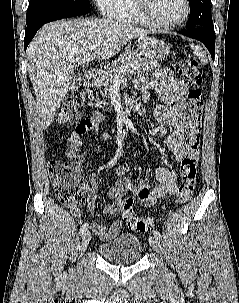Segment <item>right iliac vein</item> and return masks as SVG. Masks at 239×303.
<instances>
[{
  "label": "right iliac vein",
  "instance_id": "right-iliac-vein-1",
  "mask_svg": "<svg viewBox=\"0 0 239 303\" xmlns=\"http://www.w3.org/2000/svg\"><path fill=\"white\" fill-rule=\"evenodd\" d=\"M91 240V234L89 231H86L83 235H82V239H81V244H80V251L84 252Z\"/></svg>",
  "mask_w": 239,
  "mask_h": 303
}]
</instances>
